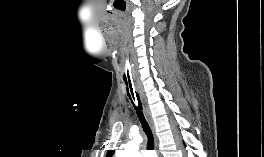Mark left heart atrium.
<instances>
[{
  "mask_svg": "<svg viewBox=\"0 0 264 157\" xmlns=\"http://www.w3.org/2000/svg\"><path fill=\"white\" fill-rule=\"evenodd\" d=\"M151 153V152H150ZM149 157H155V155H151V156H149Z\"/></svg>",
  "mask_w": 264,
  "mask_h": 157,
  "instance_id": "1",
  "label": "left heart atrium"
}]
</instances>
